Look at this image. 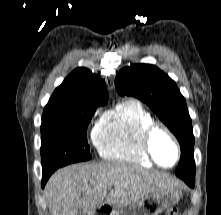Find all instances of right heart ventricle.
<instances>
[{"label":"right heart ventricle","mask_w":221,"mask_h":215,"mask_svg":"<svg viewBox=\"0 0 221 215\" xmlns=\"http://www.w3.org/2000/svg\"><path fill=\"white\" fill-rule=\"evenodd\" d=\"M153 122V116L140 101L128 99L102 116L92 140L104 159L151 167L152 162L141 146V136Z\"/></svg>","instance_id":"1"}]
</instances>
